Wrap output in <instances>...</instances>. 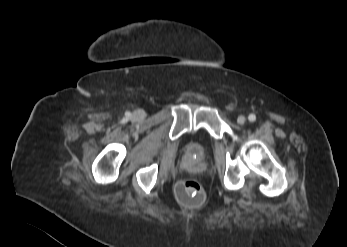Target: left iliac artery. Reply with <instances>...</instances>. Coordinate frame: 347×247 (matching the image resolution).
I'll return each mask as SVG.
<instances>
[{
	"mask_svg": "<svg viewBox=\"0 0 347 247\" xmlns=\"http://www.w3.org/2000/svg\"><path fill=\"white\" fill-rule=\"evenodd\" d=\"M248 120H249L250 122H254V121L256 120V116H255L254 114H250V115L248 116Z\"/></svg>",
	"mask_w": 347,
	"mask_h": 247,
	"instance_id": "left-iliac-artery-1",
	"label": "left iliac artery"
}]
</instances>
